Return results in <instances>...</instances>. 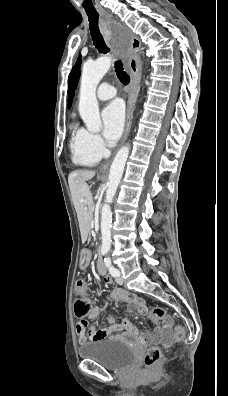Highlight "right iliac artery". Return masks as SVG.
<instances>
[{
    "label": "right iliac artery",
    "mask_w": 228,
    "mask_h": 396,
    "mask_svg": "<svg viewBox=\"0 0 228 396\" xmlns=\"http://www.w3.org/2000/svg\"><path fill=\"white\" fill-rule=\"evenodd\" d=\"M107 253V251H102V255H105Z\"/></svg>",
    "instance_id": "obj_1"
}]
</instances>
